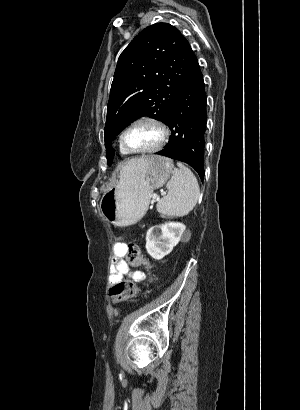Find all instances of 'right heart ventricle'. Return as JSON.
<instances>
[{"instance_id":"1","label":"right heart ventricle","mask_w":300,"mask_h":410,"mask_svg":"<svg viewBox=\"0 0 300 410\" xmlns=\"http://www.w3.org/2000/svg\"><path fill=\"white\" fill-rule=\"evenodd\" d=\"M120 152L123 156L129 155V153L127 151H125L124 149H122L121 146H120Z\"/></svg>"}]
</instances>
